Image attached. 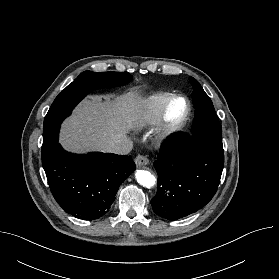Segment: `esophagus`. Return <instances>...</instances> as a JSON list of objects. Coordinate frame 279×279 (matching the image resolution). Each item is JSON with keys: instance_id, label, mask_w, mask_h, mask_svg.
<instances>
[{"instance_id": "1", "label": "esophagus", "mask_w": 279, "mask_h": 279, "mask_svg": "<svg viewBox=\"0 0 279 279\" xmlns=\"http://www.w3.org/2000/svg\"><path fill=\"white\" fill-rule=\"evenodd\" d=\"M135 163H136V166L140 168V167H142V166L148 165V164H149V159L146 158V157L143 156V155H138V156L135 158Z\"/></svg>"}]
</instances>
